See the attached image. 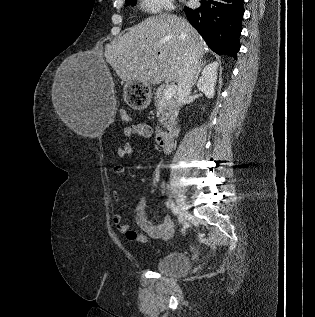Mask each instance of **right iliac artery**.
<instances>
[{
    "label": "right iliac artery",
    "mask_w": 315,
    "mask_h": 317,
    "mask_svg": "<svg viewBox=\"0 0 315 317\" xmlns=\"http://www.w3.org/2000/svg\"><path fill=\"white\" fill-rule=\"evenodd\" d=\"M170 208L174 215H178V209L173 202H170Z\"/></svg>",
    "instance_id": "1"
}]
</instances>
